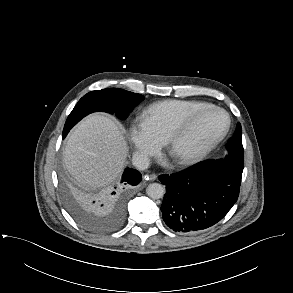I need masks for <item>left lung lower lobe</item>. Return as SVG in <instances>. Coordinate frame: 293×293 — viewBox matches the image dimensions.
Here are the masks:
<instances>
[{
  "instance_id": "1",
  "label": "left lung lower lobe",
  "mask_w": 293,
  "mask_h": 293,
  "mask_svg": "<svg viewBox=\"0 0 293 293\" xmlns=\"http://www.w3.org/2000/svg\"><path fill=\"white\" fill-rule=\"evenodd\" d=\"M243 170L223 160H206L180 173L160 175L166 185L161 205L163 220L179 233L213 226L239 196Z\"/></svg>"
}]
</instances>
